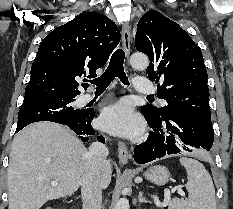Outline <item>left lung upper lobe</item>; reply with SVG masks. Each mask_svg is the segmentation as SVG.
<instances>
[{
	"label": "left lung upper lobe",
	"mask_w": 233,
	"mask_h": 209,
	"mask_svg": "<svg viewBox=\"0 0 233 209\" xmlns=\"http://www.w3.org/2000/svg\"><path fill=\"white\" fill-rule=\"evenodd\" d=\"M136 49L150 59L146 73L157 84L161 108L142 106V113L157 120L188 116L211 125L207 71L199 47L176 22L156 10L138 22Z\"/></svg>",
	"instance_id": "1"
}]
</instances>
